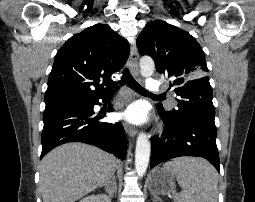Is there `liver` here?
<instances>
[{
  "label": "liver",
  "mask_w": 255,
  "mask_h": 202,
  "mask_svg": "<svg viewBox=\"0 0 255 202\" xmlns=\"http://www.w3.org/2000/svg\"><path fill=\"white\" fill-rule=\"evenodd\" d=\"M119 161L97 147L67 143L50 151L41 161L43 202H75L114 175Z\"/></svg>",
  "instance_id": "6515ba94"
}]
</instances>
